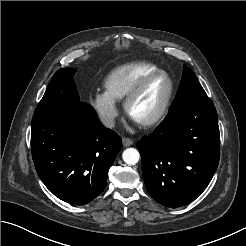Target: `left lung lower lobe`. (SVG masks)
Wrapping results in <instances>:
<instances>
[{"label":"left lung lower lobe","instance_id":"0a47b994","mask_svg":"<svg viewBox=\"0 0 246 246\" xmlns=\"http://www.w3.org/2000/svg\"><path fill=\"white\" fill-rule=\"evenodd\" d=\"M219 145L217 112L209 98L170 111L137 143L148 193L167 207L194 201L217 169Z\"/></svg>","mask_w":246,"mask_h":246}]
</instances>
